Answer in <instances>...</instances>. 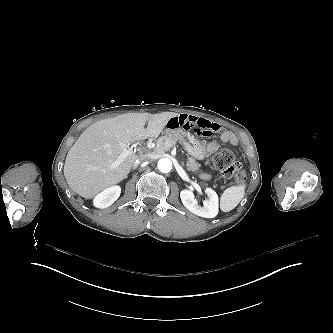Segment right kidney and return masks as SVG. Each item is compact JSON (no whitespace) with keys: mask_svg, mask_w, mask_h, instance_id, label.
Returning a JSON list of instances; mask_svg holds the SVG:
<instances>
[{"mask_svg":"<svg viewBox=\"0 0 333 333\" xmlns=\"http://www.w3.org/2000/svg\"><path fill=\"white\" fill-rule=\"evenodd\" d=\"M120 196L119 187H111L99 194L95 200V206L99 208H107L111 206Z\"/></svg>","mask_w":333,"mask_h":333,"instance_id":"obj_1","label":"right kidney"}]
</instances>
